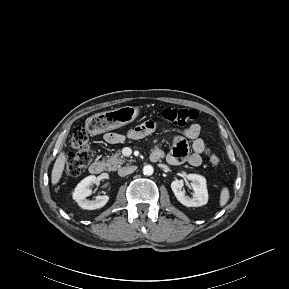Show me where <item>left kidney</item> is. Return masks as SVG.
Returning a JSON list of instances; mask_svg holds the SVG:
<instances>
[{"label": "left kidney", "mask_w": 289, "mask_h": 289, "mask_svg": "<svg viewBox=\"0 0 289 289\" xmlns=\"http://www.w3.org/2000/svg\"><path fill=\"white\" fill-rule=\"evenodd\" d=\"M187 180H190L192 189L194 191L193 197L185 195L182 190L184 185L183 180H174L171 183V189L177 200L186 207H199L207 204L208 191L206 187V179L198 174H188Z\"/></svg>", "instance_id": "obj_1"}]
</instances>
